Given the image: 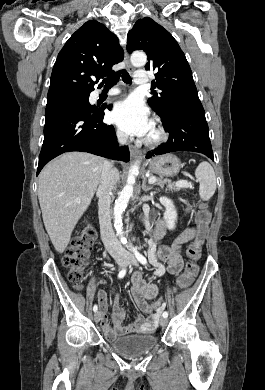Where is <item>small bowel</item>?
I'll return each instance as SVG.
<instances>
[{
    "label": "small bowel",
    "instance_id": "small-bowel-1",
    "mask_svg": "<svg viewBox=\"0 0 265 390\" xmlns=\"http://www.w3.org/2000/svg\"><path fill=\"white\" fill-rule=\"evenodd\" d=\"M190 210V207L187 208ZM166 230V222L161 221L156 228L155 238L161 239ZM204 226H195L185 229L170 245L160 244L155 250V258L158 261L165 262L167 264V271L170 274H178L183 268V256L181 247L183 244L193 240L199 233L202 234ZM132 284V296L140 309L142 314H138L135 321L125 324L126 319L125 310L117 303L118 291L114 288L108 298L104 290H100L97 294V300L99 301L103 309V320L101 327L107 339H112L119 335L128 333H140L147 334L153 332L158 326V317L149 303L158 295V287L154 284L151 278H145L140 272L133 274L131 278ZM108 300L111 301V315L112 325L107 320V305Z\"/></svg>",
    "mask_w": 265,
    "mask_h": 390
}]
</instances>
